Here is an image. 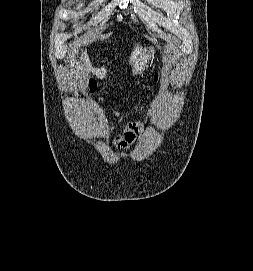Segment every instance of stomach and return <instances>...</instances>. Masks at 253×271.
<instances>
[{
  "instance_id": "0dacf381",
  "label": "stomach",
  "mask_w": 253,
  "mask_h": 271,
  "mask_svg": "<svg viewBox=\"0 0 253 271\" xmlns=\"http://www.w3.org/2000/svg\"><path fill=\"white\" fill-rule=\"evenodd\" d=\"M152 57L153 55L150 52H143L139 56H137L133 63V74L137 75L143 73Z\"/></svg>"
}]
</instances>
